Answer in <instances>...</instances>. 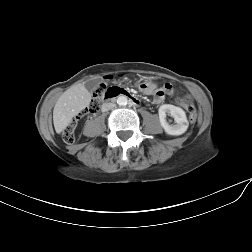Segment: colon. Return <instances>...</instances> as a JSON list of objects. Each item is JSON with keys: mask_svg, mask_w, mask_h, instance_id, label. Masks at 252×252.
Wrapping results in <instances>:
<instances>
[{"mask_svg": "<svg viewBox=\"0 0 252 252\" xmlns=\"http://www.w3.org/2000/svg\"><path fill=\"white\" fill-rule=\"evenodd\" d=\"M109 79H107L103 84H101L95 91L94 98L89 106L88 109L83 111L81 113V116H86L90 113H94L99 109L100 100L102 98H106L109 95H112L118 90H121L122 88H119L117 86H111L109 83ZM151 83L149 82H142L141 85L144 87H149ZM183 105L186 108V110L189 113V121L191 123H194L197 120V112L196 108L193 104V101L190 97H185L183 99ZM77 121L73 120L63 131L62 137L64 142L66 143H73L75 140V128H76Z\"/></svg>", "mask_w": 252, "mask_h": 252, "instance_id": "colon-1", "label": "colon"}]
</instances>
